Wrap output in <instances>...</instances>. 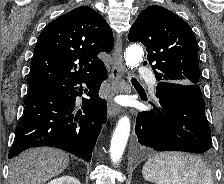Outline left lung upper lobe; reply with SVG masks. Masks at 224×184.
I'll list each match as a JSON object with an SVG mask.
<instances>
[{
  "label": "left lung upper lobe",
  "instance_id": "5c2ea615",
  "mask_svg": "<svg viewBox=\"0 0 224 184\" xmlns=\"http://www.w3.org/2000/svg\"><path fill=\"white\" fill-rule=\"evenodd\" d=\"M130 42L142 43L158 81L198 85L196 38L190 26L161 6L140 13L129 31ZM147 62H144V65Z\"/></svg>",
  "mask_w": 224,
  "mask_h": 184
}]
</instances>
